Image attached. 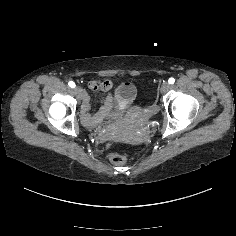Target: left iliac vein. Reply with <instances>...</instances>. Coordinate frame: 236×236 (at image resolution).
Segmentation results:
<instances>
[{
  "mask_svg": "<svg viewBox=\"0 0 236 236\" xmlns=\"http://www.w3.org/2000/svg\"><path fill=\"white\" fill-rule=\"evenodd\" d=\"M169 89H170V85L168 83L162 84V86L160 88L161 92H163V93L169 91Z\"/></svg>",
  "mask_w": 236,
  "mask_h": 236,
  "instance_id": "obj_1",
  "label": "left iliac vein"
}]
</instances>
